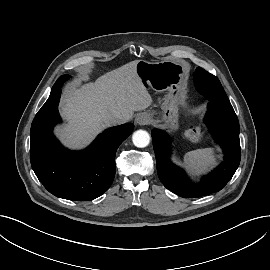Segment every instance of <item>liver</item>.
Listing matches in <instances>:
<instances>
[{"label":"liver","mask_w":270,"mask_h":270,"mask_svg":"<svg viewBox=\"0 0 270 270\" xmlns=\"http://www.w3.org/2000/svg\"><path fill=\"white\" fill-rule=\"evenodd\" d=\"M138 61L107 72L95 82L67 94L61 112L68 125L60 134L66 144L80 147L110 126V116L120 114L128 121L134 111L145 110L152 104L150 94L136 73Z\"/></svg>","instance_id":"1"}]
</instances>
